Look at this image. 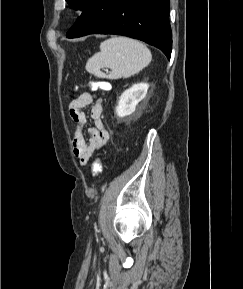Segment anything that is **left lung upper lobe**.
<instances>
[{"label":"left lung upper lobe","instance_id":"5c2ea615","mask_svg":"<svg viewBox=\"0 0 243 289\" xmlns=\"http://www.w3.org/2000/svg\"><path fill=\"white\" fill-rule=\"evenodd\" d=\"M66 1L72 8L83 11L91 0H66Z\"/></svg>","mask_w":243,"mask_h":289}]
</instances>
